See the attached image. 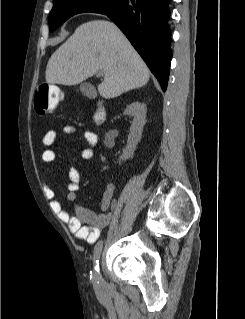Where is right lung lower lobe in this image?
Here are the masks:
<instances>
[{
	"label": "right lung lower lobe",
	"mask_w": 245,
	"mask_h": 319,
	"mask_svg": "<svg viewBox=\"0 0 245 319\" xmlns=\"http://www.w3.org/2000/svg\"><path fill=\"white\" fill-rule=\"evenodd\" d=\"M170 0H123L107 15L126 35L160 82L168 84L171 33L168 27Z\"/></svg>",
	"instance_id": "obj_1"
}]
</instances>
